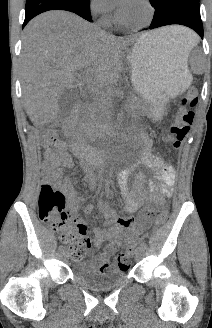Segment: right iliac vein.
Wrapping results in <instances>:
<instances>
[{
  "label": "right iliac vein",
  "mask_w": 212,
  "mask_h": 328,
  "mask_svg": "<svg viewBox=\"0 0 212 328\" xmlns=\"http://www.w3.org/2000/svg\"><path fill=\"white\" fill-rule=\"evenodd\" d=\"M62 255H63V257H64L65 260H67V259L69 258V253H68V251H63V252H62Z\"/></svg>",
  "instance_id": "1"
}]
</instances>
